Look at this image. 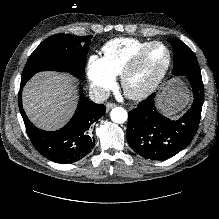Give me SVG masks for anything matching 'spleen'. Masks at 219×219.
Here are the masks:
<instances>
[{"mask_svg":"<svg viewBox=\"0 0 219 219\" xmlns=\"http://www.w3.org/2000/svg\"><path fill=\"white\" fill-rule=\"evenodd\" d=\"M171 92L175 93L177 98L181 101V102H185L188 100V96L183 92L182 88L179 86L174 87Z\"/></svg>","mask_w":219,"mask_h":219,"instance_id":"3e777b00","label":"spleen"}]
</instances>
